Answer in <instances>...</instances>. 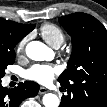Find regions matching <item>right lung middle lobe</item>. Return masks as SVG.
Returning a JSON list of instances; mask_svg holds the SVG:
<instances>
[{
	"mask_svg": "<svg viewBox=\"0 0 107 107\" xmlns=\"http://www.w3.org/2000/svg\"><path fill=\"white\" fill-rule=\"evenodd\" d=\"M15 61V51L0 56V79L5 75V69Z\"/></svg>",
	"mask_w": 107,
	"mask_h": 107,
	"instance_id": "obj_1",
	"label": "right lung middle lobe"
}]
</instances>
